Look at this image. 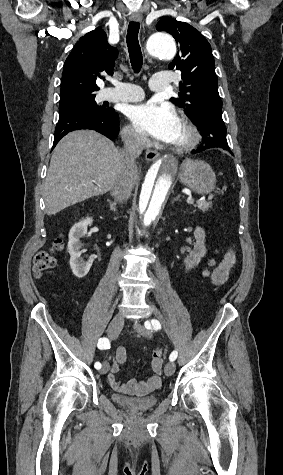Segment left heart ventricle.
<instances>
[{"label": "left heart ventricle", "mask_w": 283, "mask_h": 475, "mask_svg": "<svg viewBox=\"0 0 283 475\" xmlns=\"http://www.w3.org/2000/svg\"><path fill=\"white\" fill-rule=\"evenodd\" d=\"M177 133H178V135H177L176 139L172 142L173 145L179 144L184 138V129H183V126H182L180 120H179V127H178V130H177Z\"/></svg>", "instance_id": "left-heart-ventricle-1"}]
</instances>
